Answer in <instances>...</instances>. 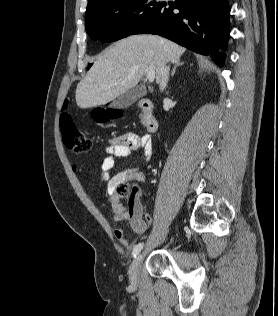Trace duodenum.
<instances>
[{
	"label": "duodenum",
	"instance_id": "duodenum-1",
	"mask_svg": "<svg viewBox=\"0 0 278 316\" xmlns=\"http://www.w3.org/2000/svg\"><path fill=\"white\" fill-rule=\"evenodd\" d=\"M139 108L145 116V127L148 132L154 133L157 131L159 122L155 116L154 104L151 100L142 98L138 101Z\"/></svg>",
	"mask_w": 278,
	"mask_h": 316
}]
</instances>
